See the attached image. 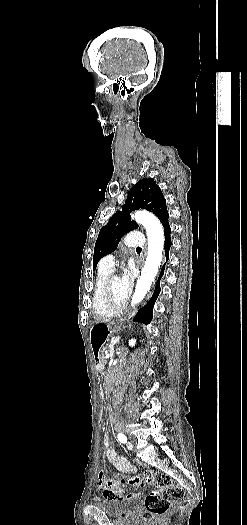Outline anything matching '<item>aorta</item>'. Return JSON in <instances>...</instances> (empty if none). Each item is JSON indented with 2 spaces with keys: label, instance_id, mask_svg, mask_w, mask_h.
<instances>
[{
  "label": "aorta",
  "instance_id": "obj_1",
  "mask_svg": "<svg viewBox=\"0 0 247 525\" xmlns=\"http://www.w3.org/2000/svg\"><path fill=\"white\" fill-rule=\"evenodd\" d=\"M132 217L144 226L148 237V255L135 287L132 297L133 305L144 299L158 273L164 248V231L160 221L150 212L137 211Z\"/></svg>",
  "mask_w": 247,
  "mask_h": 525
}]
</instances>
